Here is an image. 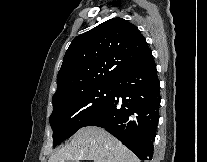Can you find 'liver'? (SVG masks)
Listing matches in <instances>:
<instances>
[{
    "label": "liver",
    "instance_id": "liver-1",
    "mask_svg": "<svg viewBox=\"0 0 207 162\" xmlns=\"http://www.w3.org/2000/svg\"><path fill=\"white\" fill-rule=\"evenodd\" d=\"M140 162L134 153L105 129L88 126L79 129L61 149L55 151L48 162Z\"/></svg>",
    "mask_w": 207,
    "mask_h": 162
}]
</instances>
